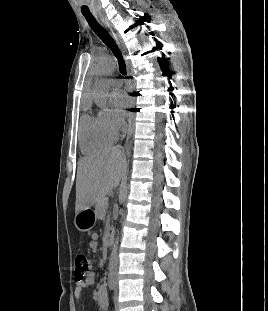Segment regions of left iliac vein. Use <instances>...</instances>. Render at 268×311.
<instances>
[{
  "label": "left iliac vein",
  "instance_id": "obj_1",
  "mask_svg": "<svg viewBox=\"0 0 268 311\" xmlns=\"http://www.w3.org/2000/svg\"><path fill=\"white\" fill-rule=\"evenodd\" d=\"M114 304H115V311H119L117 286H115Z\"/></svg>",
  "mask_w": 268,
  "mask_h": 311
}]
</instances>
